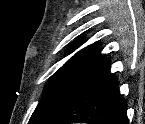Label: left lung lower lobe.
Masks as SVG:
<instances>
[{
    "label": "left lung lower lobe",
    "mask_w": 145,
    "mask_h": 124,
    "mask_svg": "<svg viewBox=\"0 0 145 124\" xmlns=\"http://www.w3.org/2000/svg\"><path fill=\"white\" fill-rule=\"evenodd\" d=\"M126 109L108 62L44 124H128Z\"/></svg>",
    "instance_id": "obj_1"
}]
</instances>
